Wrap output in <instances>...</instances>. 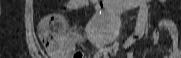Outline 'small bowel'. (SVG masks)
Masks as SVG:
<instances>
[{"label": "small bowel", "mask_w": 181, "mask_h": 58, "mask_svg": "<svg viewBox=\"0 0 181 58\" xmlns=\"http://www.w3.org/2000/svg\"><path fill=\"white\" fill-rule=\"evenodd\" d=\"M103 4V1L100 0H69L67 3V8L69 10H77L92 5L95 9L99 10L103 6ZM160 27L162 30H165L171 38L169 58H181V47L178 44V33L172 20H165L161 22ZM76 35L80 40L81 35L79 33H76ZM149 39L158 42V31H153L150 34ZM117 48V43H113L109 46H100L96 58H108V55H113L116 52Z\"/></svg>", "instance_id": "obj_1"}]
</instances>
